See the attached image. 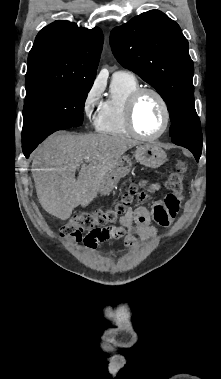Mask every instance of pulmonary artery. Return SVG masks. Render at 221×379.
Listing matches in <instances>:
<instances>
[{
  "label": "pulmonary artery",
  "mask_w": 221,
  "mask_h": 379,
  "mask_svg": "<svg viewBox=\"0 0 221 379\" xmlns=\"http://www.w3.org/2000/svg\"><path fill=\"white\" fill-rule=\"evenodd\" d=\"M116 74H126V75H132L133 74L131 72H128V71H120V72H117Z\"/></svg>",
  "instance_id": "1"
}]
</instances>
